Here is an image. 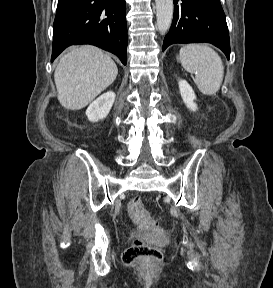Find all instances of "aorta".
<instances>
[{
  "instance_id": "aorta-1",
  "label": "aorta",
  "mask_w": 273,
  "mask_h": 288,
  "mask_svg": "<svg viewBox=\"0 0 273 288\" xmlns=\"http://www.w3.org/2000/svg\"><path fill=\"white\" fill-rule=\"evenodd\" d=\"M157 28L165 33L171 26L173 17V0H155Z\"/></svg>"
}]
</instances>
